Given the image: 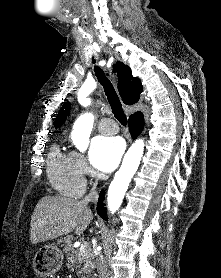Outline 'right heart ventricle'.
Instances as JSON below:
<instances>
[{
  "instance_id": "right-heart-ventricle-1",
  "label": "right heart ventricle",
  "mask_w": 221,
  "mask_h": 278,
  "mask_svg": "<svg viewBox=\"0 0 221 278\" xmlns=\"http://www.w3.org/2000/svg\"><path fill=\"white\" fill-rule=\"evenodd\" d=\"M47 171L52 186L68 197H80L85 191L84 177L75 165L72 152L53 146L47 162Z\"/></svg>"
}]
</instances>
